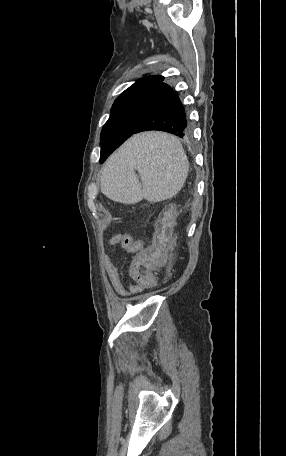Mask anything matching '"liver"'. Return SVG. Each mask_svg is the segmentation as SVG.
Segmentation results:
<instances>
[{"mask_svg": "<svg viewBox=\"0 0 286 456\" xmlns=\"http://www.w3.org/2000/svg\"><path fill=\"white\" fill-rule=\"evenodd\" d=\"M188 171L180 140L168 133L149 131L128 139L109 158L100 188L106 197L119 203L135 204L142 199L155 203L177 195Z\"/></svg>", "mask_w": 286, "mask_h": 456, "instance_id": "6515ba94", "label": "liver"}]
</instances>
